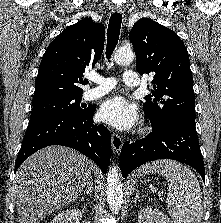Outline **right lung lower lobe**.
<instances>
[{
  "label": "right lung lower lobe",
  "instance_id": "1",
  "mask_svg": "<svg viewBox=\"0 0 221 223\" xmlns=\"http://www.w3.org/2000/svg\"><path fill=\"white\" fill-rule=\"evenodd\" d=\"M95 108L84 115H50L29 122L18 153L15 171L26 158L50 145L74 148L91 158L106 173L111 156V134L93 123Z\"/></svg>",
  "mask_w": 221,
  "mask_h": 223
}]
</instances>
